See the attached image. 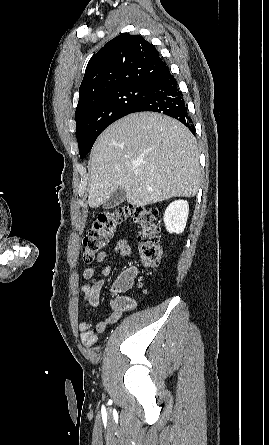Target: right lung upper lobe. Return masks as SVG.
<instances>
[{
    "label": "right lung upper lobe",
    "instance_id": "cb5924a9",
    "mask_svg": "<svg viewBox=\"0 0 269 445\" xmlns=\"http://www.w3.org/2000/svg\"><path fill=\"white\" fill-rule=\"evenodd\" d=\"M168 66L140 35L120 34L88 62L76 110L87 101L127 85H150Z\"/></svg>",
    "mask_w": 269,
    "mask_h": 445
}]
</instances>
